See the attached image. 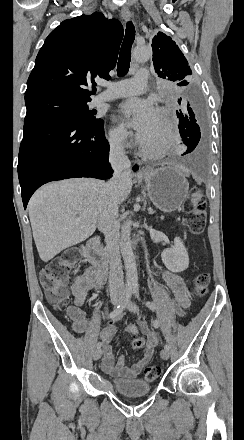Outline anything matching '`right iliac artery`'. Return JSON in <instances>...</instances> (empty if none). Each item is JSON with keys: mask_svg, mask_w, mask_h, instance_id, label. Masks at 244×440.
Instances as JSON below:
<instances>
[{"mask_svg": "<svg viewBox=\"0 0 244 440\" xmlns=\"http://www.w3.org/2000/svg\"><path fill=\"white\" fill-rule=\"evenodd\" d=\"M132 293L133 290L130 287H127L125 290V297L124 300L122 301L121 304H119L110 314H109V318L110 319H114L115 317H117L118 315H120L123 310L125 309L126 305L128 304V302L130 301L131 297H132ZM101 347V343L98 342L97 343V348Z\"/></svg>", "mask_w": 244, "mask_h": 440, "instance_id": "1", "label": "right iliac artery"}]
</instances>
